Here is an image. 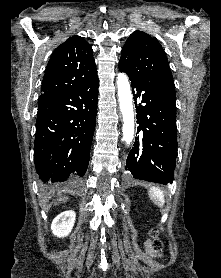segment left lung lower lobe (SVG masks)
<instances>
[{
    "mask_svg": "<svg viewBox=\"0 0 221 278\" xmlns=\"http://www.w3.org/2000/svg\"><path fill=\"white\" fill-rule=\"evenodd\" d=\"M129 78L140 136L127 157L126 169L136 179L172 183L178 146L175 91L139 77Z\"/></svg>",
    "mask_w": 221,
    "mask_h": 278,
    "instance_id": "1",
    "label": "left lung lower lobe"
}]
</instances>
